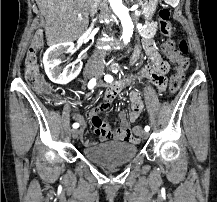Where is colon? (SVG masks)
<instances>
[{"label":"colon","mask_w":217,"mask_h":202,"mask_svg":"<svg viewBox=\"0 0 217 202\" xmlns=\"http://www.w3.org/2000/svg\"><path fill=\"white\" fill-rule=\"evenodd\" d=\"M171 11L167 7H162L158 11L159 28L160 33L164 39L163 45L168 54H171L173 62L175 63V69L186 70L189 68L188 51L189 45L186 40L181 39L175 42L168 37L172 33V26L170 23ZM43 35L37 32L34 41H29V49L24 59V75L26 81L34 86V91H38L43 94L44 98H50V103H59L60 99L58 93H50L53 90L52 86H48L42 79L38 68V53L42 46ZM158 69L153 68V73H158ZM179 73V72H178ZM186 74V73H185ZM173 73L170 77L169 92L176 94L182 84V80ZM132 132H139V127H132Z\"/></svg>","instance_id":"1"}]
</instances>
